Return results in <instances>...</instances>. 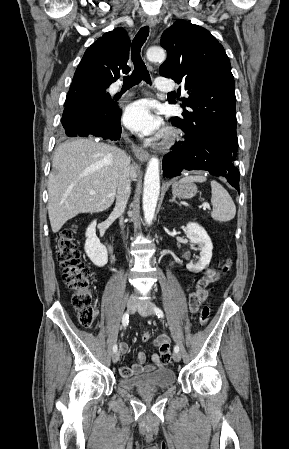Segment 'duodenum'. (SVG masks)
I'll list each match as a JSON object with an SVG mask.
<instances>
[{
    "instance_id": "duodenum-1",
    "label": "duodenum",
    "mask_w": 289,
    "mask_h": 449,
    "mask_svg": "<svg viewBox=\"0 0 289 449\" xmlns=\"http://www.w3.org/2000/svg\"><path fill=\"white\" fill-rule=\"evenodd\" d=\"M107 247H108L109 249H111V246H110L109 244H107Z\"/></svg>"
}]
</instances>
